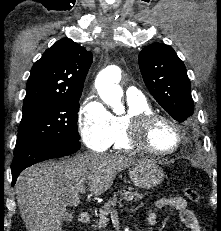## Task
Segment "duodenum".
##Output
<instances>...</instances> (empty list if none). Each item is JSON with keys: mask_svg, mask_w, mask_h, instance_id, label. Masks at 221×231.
Returning a JSON list of instances; mask_svg holds the SVG:
<instances>
[{"mask_svg": "<svg viewBox=\"0 0 221 231\" xmlns=\"http://www.w3.org/2000/svg\"><path fill=\"white\" fill-rule=\"evenodd\" d=\"M91 220V215L88 211H83L79 215V222L82 224H86Z\"/></svg>", "mask_w": 221, "mask_h": 231, "instance_id": "1", "label": "duodenum"}]
</instances>
